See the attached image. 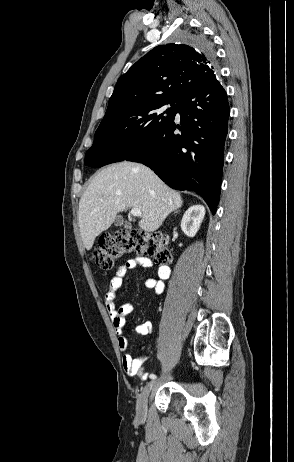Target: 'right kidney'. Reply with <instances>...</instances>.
Wrapping results in <instances>:
<instances>
[{
    "label": "right kidney",
    "mask_w": 294,
    "mask_h": 462,
    "mask_svg": "<svg viewBox=\"0 0 294 462\" xmlns=\"http://www.w3.org/2000/svg\"><path fill=\"white\" fill-rule=\"evenodd\" d=\"M205 216L203 205L196 204L191 206L183 215L181 229L188 237H194L198 232Z\"/></svg>",
    "instance_id": "obj_1"
}]
</instances>
